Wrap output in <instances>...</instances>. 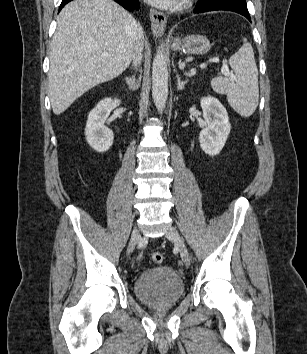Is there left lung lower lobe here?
Segmentation results:
<instances>
[{"mask_svg": "<svg viewBox=\"0 0 307 354\" xmlns=\"http://www.w3.org/2000/svg\"><path fill=\"white\" fill-rule=\"evenodd\" d=\"M224 10L233 11L245 16L251 21L246 0H199L195 6V13Z\"/></svg>", "mask_w": 307, "mask_h": 354, "instance_id": "obj_1", "label": "left lung lower lobe"}]
</instances>
